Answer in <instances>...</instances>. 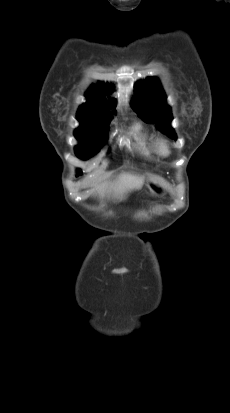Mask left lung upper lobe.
<instances>
[{"instance_id":"1","label":"left lung upper lobe","mask_w":230,"mask_h":413,"mask_svg":"<svg viewBox=\"0 0 230 413\" xmlns=\"http://www.w3.org/2000/svg\"><path fill=\"white\" fill-rule=\"evenodd\" d=\"M131 106L133 110L146 122L155 123L156 127L176 140V134L170 123L171 109L166 105V95L155 78H147L135 88Z\"/></svg>"}]
</instances>
